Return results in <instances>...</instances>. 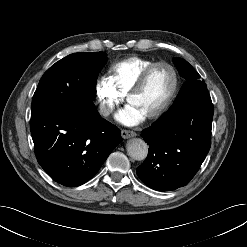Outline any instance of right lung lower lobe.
Here are the masks:
<instances>
[{
  "instance_id": "98d812e1",
  "label": "right lung lower lobe",
  "mask_w": 247,
  "mask_h": 247,
  "mask_svg": "<svg viewBox=\"0 0 247 247\" xmlns=\"http://www.w3.org/2000/svg\"><path fill=\"white\" fill-rule=\"evenodd\" d=\"M38 163L56 182L76 187L90 180L121 142L120 130L91 113L53 104L31 114Z\"/></svg>"
}]
</instances>
